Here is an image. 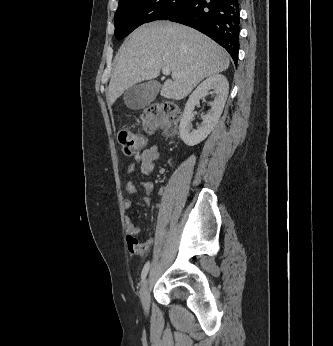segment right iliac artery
<instances>
[{
  "mask_svg": "<svg viewBox=\"0 0 333 346\" xmlns=\"http://www.w3.org/2000/svg\"><path fill=\"white\" fill-rule=\"evenodd\" d=\"M149 267H150V262L148 261L145 265H144V268L142 270V273H141V279L142 281L145 279V277L147 276L148 274V271H149Z\"/></svg>",
  "mask_w": 333,
  "mask_h": 346,
  "instance_id": "obj_1",
  "label": "right iliac artery"
}]
</instances>
